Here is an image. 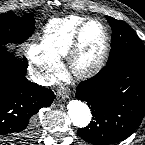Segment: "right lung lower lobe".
Listing matches in <instances>:
<instances>
[{"mask_svg":"<svg viewBox=\"0 0 145 145\" xmlns=\"http://www.w3.org/2000/svg\"><path fill=\"white\" fill-rule=\"evenodd\" d=\"M27 59L0 45V143L29 145L37 133L36 114L53 101L52 90L25 77Z\"/></svg>","mask_w":145,"mask_h":145,"instance_id":"obj_1","label":"right lung lower lobe"}]
</instances>
